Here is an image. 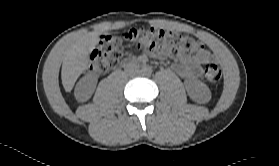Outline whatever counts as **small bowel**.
<instances>
[{"label": "small bowel", "instance_id": "obj_1", "mask_svg": "<svg viewBox=\"0 0 279 166\" xmlns=\"http://www.w3.org/2000/svg\"><path fill=\"white\" fill-rule=\"evenodd\" d=\"M211 58L207 50H200L193 57L183 58L180 64L174 66L176 72L183 78H193L198 75L200 64Z\"/></svg>", "mask_w": 279, "mask_h": 166}]
</instances>
